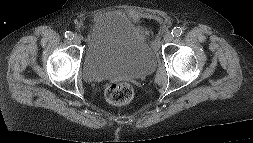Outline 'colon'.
Wrapping results in <instances>:
<instances>
[{
	"mask_svg": "<svg viewBox=\"0 0 253 143\" xmlns=\"http://www.w3.org/2000/svg\"><path fill=\"white\" fill-rule=\"evenodd\" d=\"M134 96L131 84L125 81L111 83L105 91L107 101L114 105H124L129 103Z\"/></svg>",
	"mask_w": 253,
	"mask_h": 143,
	"instance_id": "colon-1",
	"label": "colon"
}]
</instances>
